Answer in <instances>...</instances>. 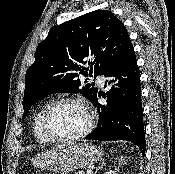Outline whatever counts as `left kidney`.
<instances>
[{
    "instance_id": "1",
    "label": "left kidney",
    "mask_w": 175,
    "mask_h": 174,
    "mask_svg": "<svg viewBox=\"0 0 175 174\" xmlns=\"http://www.w3.org/2000/svg\"><path fill=\"white\" fill-rule=\"evenodd\" d=\"M105 174H116V172H115V171L110 170V171H107Z\"/></svg>"
}]
</instances>
